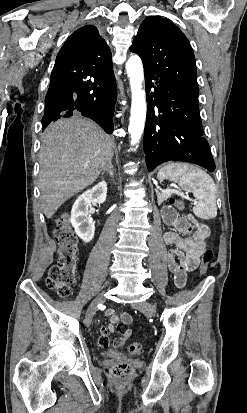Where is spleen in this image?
Listing matches in <instances>:
<instances>
[{
  "label": "spleen",
  "instance_id": "spleen-1",
  "mask_svg": "<svg viewBox=\"0 0 247 413\" xmlns=\"http://www.w3.org/2000/svg\"><path fill=\"white\" fill-rule=\"evenodd\" d=\"M178 164H183V166H179L174 172L170 170L169 164L160 168L157 174L158 178L160 180H163V178L175 180L184 190H191L194 196L199 198V204L195 207V211L203 204L204 215L206 217H216V186L213 178L205 170L196 168L192 164L190 166L186 162H178Z\"/></svg>",
  "mask_w": 247,
  "mask_h": 413
}]
</instances>
